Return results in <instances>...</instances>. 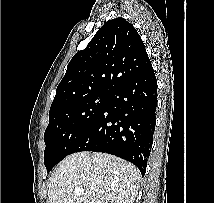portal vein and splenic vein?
<instances>
[{
    "mask_svg": "<svg viewBox=\"0 0 214 203\" xmlns=\"http://www.w3.org/2000/svg\"><path fill=\"white\" fill-rule=\"evenodd\" d=\"M75 193L77 195H83L84 194V190L82 188H79V189H75Z\"/></svg>",
    "mask_w": 214,
    "mask_h": 203,
    "instance_id": "portal-vein-and-splenic-vein-1",
    "label": "portal vein and splenic vein"
}]
</instances>
